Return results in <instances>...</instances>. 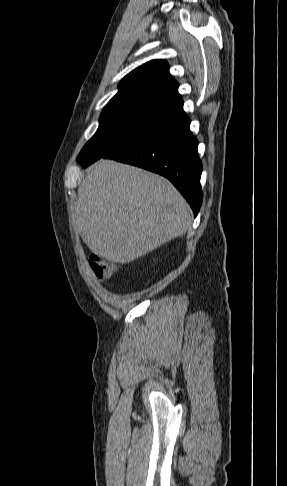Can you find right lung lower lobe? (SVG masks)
I'll return each instance as SVG.
<instances>
[{"instance_id": "obj_1", "label": "right lung lower lobe", "mask_w": 287, "mask_h": 486, "mask_svg": "<svg viewBox=\"0 0 287 486\" xmlns=\"http://www.w3.org/2000/svg\"><path fill=\"white\" fill-rule=\"evenodd\" d=\"M189 127L190 119L183 109L178 110L103 158L165 176L182 193L197 216L203 196L200 186L202 164L197 152L198 141Z\"/></svg>"}]
</instances>
